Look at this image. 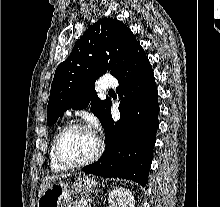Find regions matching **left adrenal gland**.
Listing matches in <instances>:
<instances>
[{"label": "left adrenal gland", "instance_id": "a2214340", "mask_svg": "<svg viewBox=\"0 0 220 207\" xmlns=\"http://www.w3.org/2000/svg\"><path fill=\"white\" fill-rule=\"evenodd\" d=\"M98 192H99V191H96V193H95V194H96V196L98 195Z\"/></svg>", "mask_w": 220, "mask_h": 207}]
</instances>
